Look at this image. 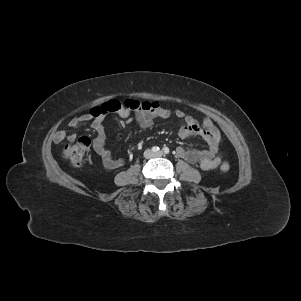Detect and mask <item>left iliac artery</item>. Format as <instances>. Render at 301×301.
<instances>
[{"instance_id": "44dca946", "label": "left iliac artery", "mask_w": 301, "mask_h": 301, "mask_svg": "<svg viewBox=\"0 0 301 301\" xmlns=\"http://www.w3.org/2000/svg\"><path fill=\"white\" fill-rule=\"evenodd\" d=\"M169 151H170V150H169V148H168V147H164V148H163V152H164L165 154H168V153H169Z\"/></svg>"}]
</instances>
